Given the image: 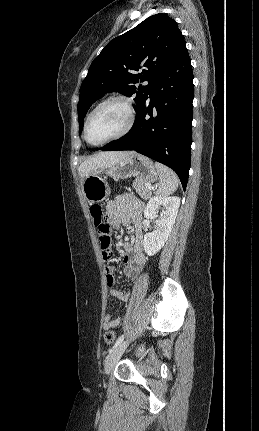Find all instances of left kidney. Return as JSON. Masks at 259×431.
<instances>
[{
    "mask_svg": "<svg viewBox=\"0 0 259 431\" xmlns=\"http://www.w3.org/2000/svg\"><path fill=\"white\" fill-rule=\"evenodd\" d=\"M180 206V198L177 196H154L145 207L144 217L155 219L156 226L151 233L144 236L143 246L145 253L149 256L156 254L168 240ZM162 209L160 216L158 210Z\"/></svg>",
    "mask_w": 259,
    "mask_h": 431,
    "instance_id": "obj_1",
    "label": "left kidney"
}]
</instances>
